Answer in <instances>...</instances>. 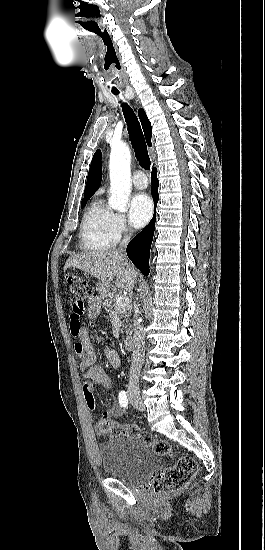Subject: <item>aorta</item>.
I'll list each match as a JSON object with an SVG mask.
<instances>
[{"instance_id": "762f6f07", "label": "aorta", "mask_w": 265, "mask_h": 550, "mask_svg": "<svg viewBox=\"0 0 265 550\" xmlns=\"http://www.w3.org/2000/svg\"><path fill=\"white\" fill-rule=\"evenodd\" d=\"M131 154L128 145H113L110 154L109 173L111 197L109 206L120 212H126L131 192Z\"/></svg>"}]
</instances>
